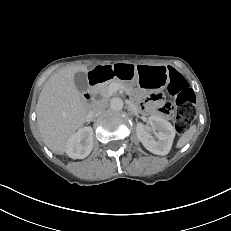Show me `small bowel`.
Returning a JSON list of instances; mask_svg holds the SVG:
<instances>
[{"label": "small bowel", "instance_id": "c3829d8e", "mask_svg": "<svg viewBox=\"0 0 231 231\" xmlns=\"http://www.w3.org/2000/svg\"><path fill=\"white\" fill-rule=\"evenodd\" d=\"M159 99H160V98H159V97H157V100H159ZM152 110H153V111H155V110H156V111H158L157 109H153V108H152Z\"/></svg>", "mask_w": 231, "mask_h": 231}]
</instances>
